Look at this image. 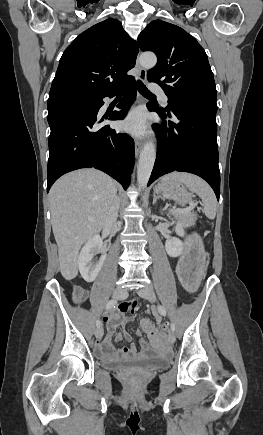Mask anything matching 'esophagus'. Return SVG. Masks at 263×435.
Returning a JSON list of instances; mask_svg holds the SVG:
<instances>
[{"mask_svg":"<svg viewBox=\"0 0 263 435\" xmlns=\"http://www.w3.org/2000/svg\"><path fill=\"white\" fill-rule=\"evenodd\" d=\"M136 69L138 70V75H137V79L140 81H145L146 80V70L140 65L139 63V59L137 58L136 60ZM134 146H135V154L136 156H138L141 148H142V142L138 139L134 140Z\"/></svg>","mask_w":263,"mask_h":435,"instance_id":"34e87169","label":"esophagus"}]
</instances>
